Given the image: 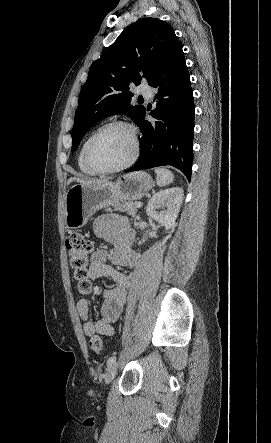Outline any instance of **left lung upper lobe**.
<instances>
[{"label": "left lung upper lobe", "mask_w": 271, "mask_h": 443, "mask_svg": "<svg viewBox=\"0 0 271 443\" xmlns=\"http://www.w3.org/2000/svg\"><path fill=\"white\" fill-rule=\"evenodd\" d=\"M181 43L173 29L157 18H142L129 25L93 62L83 86L72 129V152L84 134L100 120L127 114L139 125L145 108L130 105L129 84L147 81L170 52Z\"/></svg>", "instance_id": "left-lung-upper-lobe-1"}]
</instances>
